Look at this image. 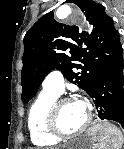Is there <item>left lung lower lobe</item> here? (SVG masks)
<instances>
[{"mask_svg":"<svg viewBox=\"0 0 124 149\" xmlns=\"http://www.w3.org/2000/svg\"><path fill=\"white\" fill-rule=\"evenodd\" d=\"M124 63L123 59L104 69L87 94L97 109V119L112 120L124 129Z\"/></svg>","mask_w":124,"mask_h":149,"instance_id":"left-lung-lower-lobe-1","label":"left lung lower lobe"}]
</instances>
